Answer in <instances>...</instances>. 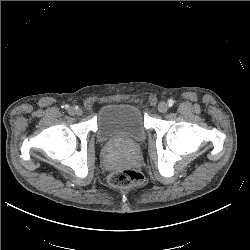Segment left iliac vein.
<instances>
[{"label":"left iliac vein","mask_w":250,"mask_h":250,"mask_svg":"<svg viewBox=\"0 0 250 250\" xmlns=\"http://www.w3.org/2000/svg\"><path fill=\"white\" fill-rule=\"evenodd\" d=\"M168 109H169V106H168L167 103H165V102H160V103L158 104V111H159L160 113H166V112L168 111Z\"/></svg>","instance_id":"1"}]
</instances>
